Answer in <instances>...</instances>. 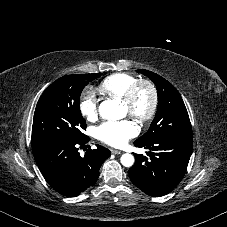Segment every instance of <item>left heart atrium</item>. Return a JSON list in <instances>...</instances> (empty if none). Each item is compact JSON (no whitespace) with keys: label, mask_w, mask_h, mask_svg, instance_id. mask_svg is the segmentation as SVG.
<instances>
[{"label":"left heart atrium","mask_w":227,"mask_h":227,"mask_svg":"<svg viewBox=\"0 0 227 227\" xmlns=\"http://www.w3.org/2000/svg\"><path fill=\"white\" fill-rule=\"evenodd\" d=\"M99 140L113 147H123L137 135V128L129 120L106 121L96 129Z\"/></svg>","instance_id":"left-heart-atrium-1"}]
</instances>
